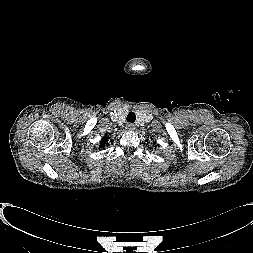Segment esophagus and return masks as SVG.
<instances>
[{"label": "esophagus", "mask_w": 253, "mask_h": 253, "mask_svg": "<svg viewBox=\"0 0 253 253\" xmlns=\"http://www.w3.org/2000/svg\"><path fill=\"white\" fill-rule=\"evenodd\" d=\"M126 128L129 130V131H133L135 130V125L133 123H128L126 125Z\"/></svg>", "instance_id": "1"}]
</instances>
